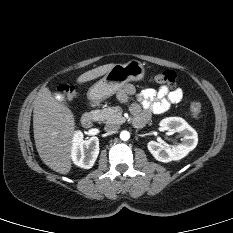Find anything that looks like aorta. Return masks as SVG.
Here are the masks:
<instances>
[{
    "instance_id": "1",
    "label": "aorta",
    "mask_w": 233,
    "mask_h": 233,
    "mask_svg": "<svg viewBox=\"0 0 233 233\" xmlns=\"http://www.w3.org/2000/svg\"><path fill=\"white\" fill-rule=\"evenodd\" d=\"M130 138V133L126 130L121 131L120 139L123 141H127Z\"/></svg>"
}]
</instances>
